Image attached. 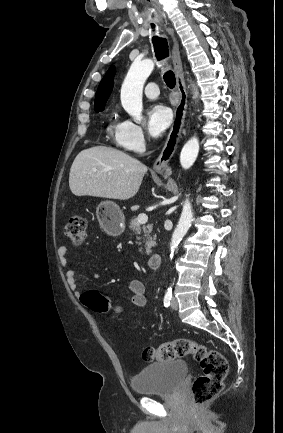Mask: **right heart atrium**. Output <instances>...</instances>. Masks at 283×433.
I'll return each mask as SVG.
<instances>
[{
    "instance_id": "d8ad5b80",
    "label": "right heart atrium",
    "mask_w": 283,
    "mask_h": 433,
    "mask_svg": "<svg viewBox=\"0 0 283 433\" xmlns=\"http://www.w3.org/2000/svg\"><path fill=\"white\" fill-rule=\"evenodd\" d=\"M114 141L118 147L130 154H141L146 147V138L141 127L130 119H125L118 125Z\"/></svg>"
}]
</instances>
